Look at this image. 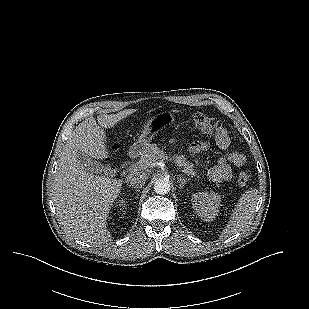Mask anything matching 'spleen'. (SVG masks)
I'll return each mask as SVG.
<instances>
[{
	"label": "spleen",
	"mask_w": 309,
	"mask_h": 309,
	"mask_svg": "<svg viewBox=\"0 0 309 309\" xmlns=\"http://www.w3.org/2000/svg\"><path fill=\"white\" fill-rule=\"evenodd\" d=\"M258 199L259 192L257 189L247 190L242 195L232 211L231 217L220 235V239L234 235L247 226L254 213Z\"/></svg>",
	"instance_id": "1"
}]
</instances>
